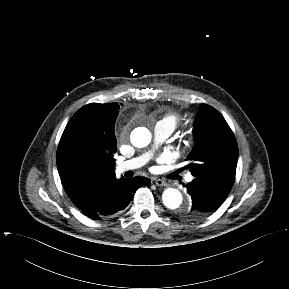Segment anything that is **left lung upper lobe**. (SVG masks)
<instances>
[{"label": "left lung upper lobe", "instance_id": "left-lung-upper-lobe-1", "mask_svg": "<svg viewBox=\"0 0 289 289\" xmlns=\"http://www.w3.org/2000/svg\"><path fill=\"white\" fill-rule=\"evenodd\" d=\"M193 134L196 144L186 159L190 161L186 168H190L196 178H210L233 185L238 147L223 116L213 107L201 104Z\"/></svg>", "mask_w": 289, "mask_h": 289}]
</instances>
